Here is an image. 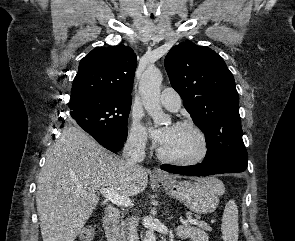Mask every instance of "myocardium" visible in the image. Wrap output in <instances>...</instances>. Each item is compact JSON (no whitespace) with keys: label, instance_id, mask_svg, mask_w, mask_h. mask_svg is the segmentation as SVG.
Segmentation results:
<instances>
[{"label":"myocardium","instance_id":"1","mask_svg":"<svg viewBox=\"0 0 295 241\" xmlns=\"http://www.w3.org/2000/svg\"><path fill=\"white\" fill-rule=\"evenodd\" d=\"M175 127L189 129L196 134L200 143L199 153L190 159H178L164 154L160 147L158 149V157L164 162L178 166H195L204 162L210 153V142L203 129L193 122H178Z\"/></svg>","mask_w":295,"mask_h":241}]
</instances>
